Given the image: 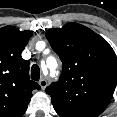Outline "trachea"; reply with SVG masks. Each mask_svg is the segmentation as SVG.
<instances>
[{"label":"trachea","mask_w":117,"mask_h":117,"mask_svg":"<svg viewBox=\"0 0 117 117\" xmlns=\"http://www.w3.org/2000/svg\"><path fill=\"white\" fill-rule=\"evenodd\" d=\"M31 79L34 81H39L40 79V69L38 65H33L31 67Z\"/></svg>","instance_id":"trachea-1"}]
</instances>
